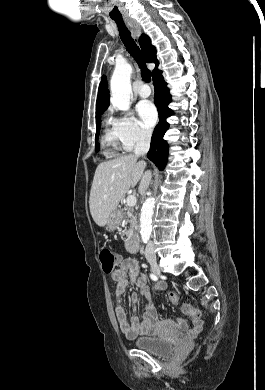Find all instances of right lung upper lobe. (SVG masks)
Returning a JSON list of instances; mask_svg holds the SVG:
<instances>
[{"label":"right lung upper lobe","instance_id":"right-lung-upper-lobe-1","mask_svg":"<svg viewBox=\"0 0 265 390\" xmlns=\"http://www.w3.org/2000/svg\"><path fill=\"white\" fill-rule=\"evenodd\" d=\"M139 44L144 55V58L148 63H155V69L153 70V76L159 72L157 69L159 61L156 57V48L151 45L149 37L145 34H142L139 39ZM109 90L107 85L106 77L103 76L99 85L97 102H96V119L101 117V114L108 108L109 102Z\"/></svg>","mask_w":265,"mask_h":390}]
</instances>
